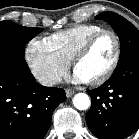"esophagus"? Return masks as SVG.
<instances>
[{"mask_svg": "<svg viewBox=\"0 0 139 139\" xmlns=\"http://www.w3.org/2000/svg\"><path fill=\"white\" fill-rule=\"evenodd\" d=\"M65 93H66V96L68 98H70L74 94V90H72V89H66L65 90Z\"/></svg>", "mask_w": 139, "mask_h": 139, "instance_id": "34e87169", "label": "esophagus"}]
</instances>
